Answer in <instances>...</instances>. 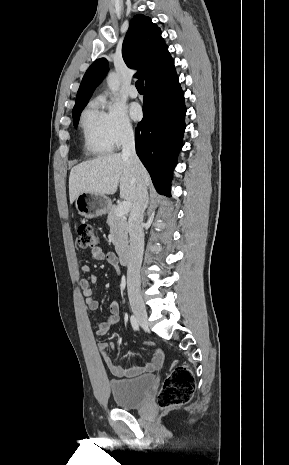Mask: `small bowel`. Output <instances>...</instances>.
<instances>
[{
    "instance_id": "small-bowel-1",
    "label": "small bowel",
    "mask_w": 289,
    "mask_h": 465,
    "mask_svg": "<svg viewBox=\"0 0 289 465\" xmlns=\"http://www.w3.org/2000/svg\"><path fill=\"white\" fill-rule=\"evenodd\" d=\"M91 253H92V257L97 261H107L110 265L114 267L118 266V263H119L118 258L111 251L105 252L102 248L95 247L92 249ZM81 270L83 272H89L90 267L87 264H83L81 265ZM118 274L120 275V272H118ZM97 281L98 279L95 275L81 278L79 280V285L83 291V294L86 297V305L88 309L92 312H97L99 309V303L93 296L94 295L93 285L96 284ZM118 321H119V308H118L117 303L114 302L110 306V314L107 317V319L105 321L99 322L97 326L96 334L98 336L107 335L111 327L117 324ZM111 346L114 347L115 344H111ZM98 348H99L100 353L103 355L105 364L107 365L108 369L116 377H132L145 371H155L162 366L163 361H164V354L160 350H157L154 356L152 357V359L149 362H147L143 367L123 368L119 365L114 364L111 358L109 357V354H108L109 345L107 343H100Z\"/></svg>"
}]
</instances>
